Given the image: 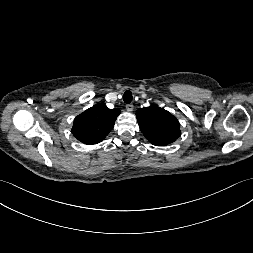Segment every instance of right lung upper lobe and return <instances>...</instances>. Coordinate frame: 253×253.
Listing matches in <instances>:
<instances>
[{
    "mask_svg": "<svg viewBox=\"0 0 253 253\" xmlns=\"http://www.w3.org/2000/svg\"><path fill=\"white\" fill-rule=\"evenodd\" d=\"M119 114V109L97 104L75 118L72 133L82 143L97 144L112 130Z\"/></svg>",
    "mask_w": 253,
    "mask_h": 253,
    "instance_id": "cb5924a9",
    "label": "right lung upper lobe"
}]
</instances>
